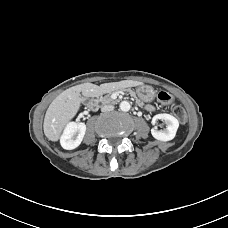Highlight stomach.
Wrapping results in <instances>:
<instances>
[{
    "instance_id": "1",
    "label": "stomach",
    "mask_w": 228,
    "mask_h": 228,
    "mask_svg": "<svg viewBox=\"0 0 228 228\" xmlns=\"http://www.w3.org/2000/svg\"><path fill=\"white\" fill-rule=\"evenodd\" d=\"M136 94L144 102H151L155 97L154 89L144 84L136 88Z\"/></svg>"
}]
</instances>
